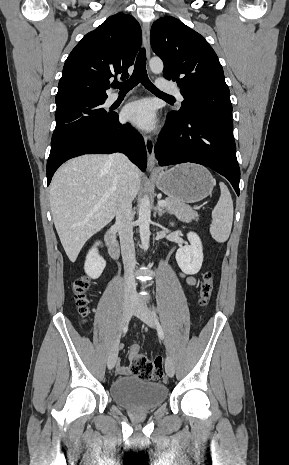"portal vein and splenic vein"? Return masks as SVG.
Listing matches in <instances>:
<instances>
[{"instance_id":"18ae733b","label":"portal vein and splenic vein","mask_w":289,"mask_h":465,"mask_svg":"<svg viewBox=\"0 0 289 465\" xmlns=\"http://www.w3.org/2000/svg\"><path fill=\"white\" fill-rule=\"evenodd\" d=\"M166 204H167V202H166L165 200H160V201H158V205H159V206L164 207V206H166Z\"/></svg>"}]
</instances>
